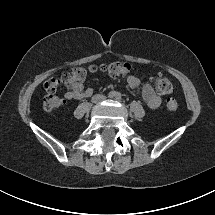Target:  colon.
I'll return each mask as SVG.
<instances>
[{
	"label": "colon",
	"mask_w": 215,
	"mask_h": 215,
	"mask_svg": "<svg viewBox=\"0 0 215 215\" xmlns=\"http://www.w3.org/2000/svg\"><path fill=\"white\" fill-rule=\"evenodd\" d=\"M131 71V66L124 62H112L100 66L91 65L89 67H76L72 70L63 73L59 77L48 79L44 83L46 96L43 99V107L46 111H53L62 106L63 101L55 93L62 86L70 87L76 82H82L88 73L101 72L110 77H123ZM154 87L161 94H169L173 90V85L169 79L165 77H157L154 80ZM179 104L176 99L168 98L166 100L167 110L176 111Z\"/></svg>",
	"instance_id": "colon-1"
}]
</instances>
